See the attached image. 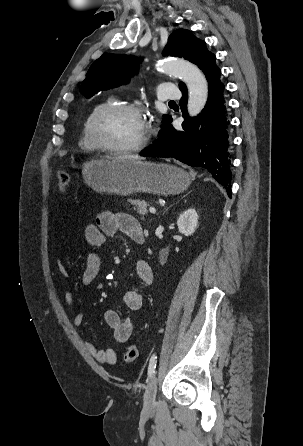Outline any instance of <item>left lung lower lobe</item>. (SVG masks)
<instances>
[{
	"instance_id": "obj_1",
	"label": "left lung lower lobe",
	"mask_w": 303,
	"mask_h": 446,
	"mask_svg": "<svg viewBox=\"0 0 303 446\" xmlns=\"http://www.w3.org/2000/svg\"><path fill=\"white\" fill-rule=\"evenodd\" d=\"M208 83V101L197 116L187 114V89L182 91L180 107L185 118L182 130H176L170 123L162 126L159 139L140 155L144 157H173L192 167H202L211 173L226 188L231 197V172L228 155L227 126L223 99L224 84L220 81L221 70L215 64L213 55L202 68Z\"/></svg>"
}]
</instances>
